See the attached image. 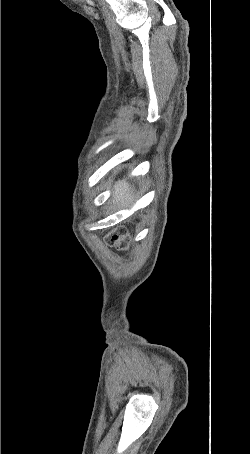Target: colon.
I'll return each instance as SVG.
<instances>
[{"mask_svg":"<svg viewBox=\"0 0 250 454\" xmlns=\"http://www.w3.org/2000/svg\"><path fill=\"white\" fill-rule=\"evenodd\" d=\"M105 243L118 251L127 252L131 248L132 238L124 226H117L106 233Z\"/></svg>","mask_w":250,"mask_h":454,"instance_id":"5ec220e1","label":"colon"}]
</instances>
